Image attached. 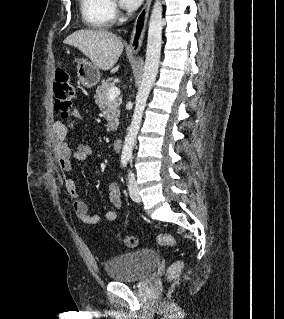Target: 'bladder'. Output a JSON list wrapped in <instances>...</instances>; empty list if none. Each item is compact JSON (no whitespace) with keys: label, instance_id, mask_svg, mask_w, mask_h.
Wrapping results in <instances>:
<instances>
[{"label":"bladder","instance_id":"obj_1","mask_svg":"<svg viewBox=\"0 0 284 319\" xmlns=\"http://www.w3.org/2000/svg\"><path fill=\"white\" fill-rule=\"evenodd\" d=\"M160 263V255L153 249H140L108 259L104 268L108 277L117 282L139 281Z\"/></svg>","mask_w":284,"mask_h":319}]
</instances>
